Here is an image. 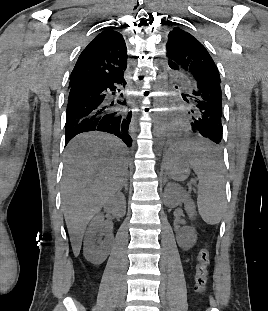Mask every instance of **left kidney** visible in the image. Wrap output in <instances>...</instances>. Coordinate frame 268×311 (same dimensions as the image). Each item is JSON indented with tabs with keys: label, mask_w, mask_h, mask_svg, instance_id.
Listing matches in <instances>:
<instances>
[{
	"label": "left kidney",
	"mask_w": 268,
	"mask_h": 311,
	"mask_svg": "<svg viewBox=\"0 0 268 311\" xmlns=\"http://www.w3.org/2000/svg\"><path fill=\"white\" fill-rule=\"evenodd\" d=\"M165 205L169 208H174L181 204H185V209L190 217H193V203L189 195L178 184H169L165 188ZM197 240V233L194 227L184 226L177 233L178 245L183 250H189L194 246Z\"/></svg>",
	"instance_id": "5707ae66"
}]
</instances>
